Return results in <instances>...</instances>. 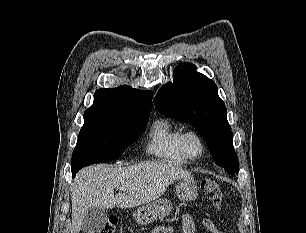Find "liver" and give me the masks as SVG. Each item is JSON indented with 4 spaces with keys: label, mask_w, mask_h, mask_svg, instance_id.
I'll list each match as a JSON object with an SVG mask.
<instances>
[{
    "label": "liver",
    "mask_w": 306,
    "mask_h": 233,
    "mask_svg": "<svg viewBox=\"0 0 306 233\" xmlns=\"http://www.w3.org/2000/svg\"><path fill=\"white\" fill-rule=\"evenodd\" d=\"M191 174L166 162H141L128 167L95 165L83 168L71 188V233L82 229L85 213L91 207L101 209L133 208L159 198L175 180ZM124 187L114 195V189Z\"/></svg>",
    "instance_id": "1"
}]
</instances>
